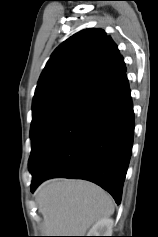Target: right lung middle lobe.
Returning <instances> with one entry per match:
<instances>
[{
  "label": "right lung middle lobe",
  "mask_w": 158,
  "mask_h": 237,
  "mask_svg": "<svg viewBox=\"0 0 158 237\" xmlns=\"http://www.w3.org/2000/svg\"><path fill=\"white\" fill-rule=\"evenodd\" d=\"M84 102L67 96L46 99L32 106L31 145L29 163L42 140L68 115Z\"/></svg>",
  "instance_id": "1"
}]
</instances>
